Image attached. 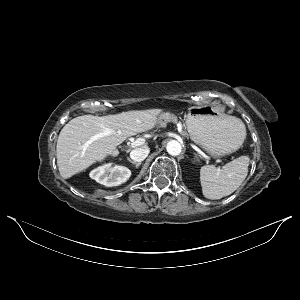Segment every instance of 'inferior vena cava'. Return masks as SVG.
Returning a JSON list of instances; mask_svg holds the SVG:
<instances>
[{"label": "inferior vena cava", "mask_w": 300, "mask_h": 300, "mask_svg": "<svg viewBox=\"0 0 300 300\" xmlns=\"http://www.w3.org/2000/svg\"><path fill=\"white\" fill-rule=\"evenodd\" d=\"M150 149L148 146H142L131 151L130 157L135 162H141L148 156Z\"/></svg>", "instance_id": "inferior-vena-cava-1"}]
</instances>
